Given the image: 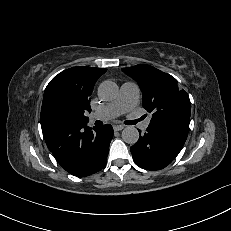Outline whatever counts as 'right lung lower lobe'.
Here are the masks:
<instances>
[{"label": "right lung lower lobe", "instance_id": "obj_1", "mask_svg": "<svg viewBox=\"0 0 231 231\" xmlns=\"http://www.w3.org/2000/svg\"><path fill=\"white\" fill-rule=\"evenodd\" d=\"M113 128L87 125L76 128L68 138L69 143L51 152L64 170L77 177H85L101 170L107 161Z\"/></svg>", "mask_w": 231, "mask_h": 231}]
</instances>
